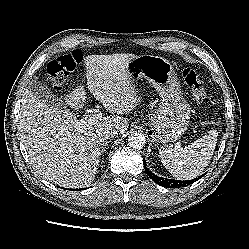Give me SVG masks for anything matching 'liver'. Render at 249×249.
I'll return each mask as SVG.
<instances>
[{"instance_id":"6515ba94","label":"liver","mask_w":249,"mask_h":249,"mask_svg":"<svg viewBox=\"0 0 249 249\" xmlns=\"http://www.w3.org/2000/svg\"><path fill=\"white\" fill-rule=\"evenodd\" d=\"M134 54L89 55L85 59L87 85L111 115L89 126L79 127L74 113L50 106L25 90L20 107L21 139L30 161L45 179L62 187L90 184L97 173L106 139L103 131L115 128L123 134L128 114L140 102L126 64ZM86 93L77 86L66 96V104L83 108Z\"/></svg>"}]
</instances>
